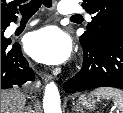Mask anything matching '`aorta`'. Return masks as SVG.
I'll return each mask as SVG.
<instances>
[{
    "mask_svg": "<svg viewBox=\"0 0 123 113\" xmlns=\"http://www.w3.org/2000/svg\"><path fill=\"white\" fill-rule=\"evenodd\" d=\"M60 94L57 85L50 82L45 87L43 97L44 113H62Z\"/></svg>",
    "mask_w": 123,
    "mask_h": 113,
    "instance_id": "762f6f07",
    "label": "aorta"
}]
</instances>
